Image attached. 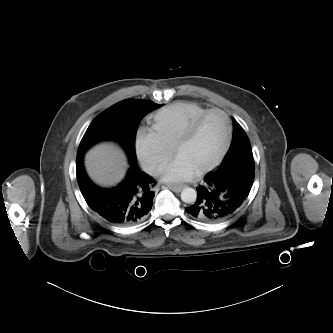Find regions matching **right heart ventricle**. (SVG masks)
I'll use <instances>...</instances> for the list:
<instances>
[{
	"instance_id": "e07e8e85",
	"label": "right heart ventricle",
	"mask_w": 333,
	"mask_h": 333,
	"mask_svg": "<svg viewBox=\"0 0 333 333\" xmlns=\"http://www.w3.org/2000/svg\"><path fill=\"white\" fill-rule=\"evenodd\" d=\"M205 111L206 108L194 102H176L154 114L152 128L172 146L180 133Z\"/></svg>"
}]
</instances>
